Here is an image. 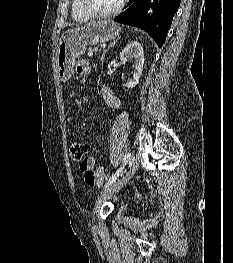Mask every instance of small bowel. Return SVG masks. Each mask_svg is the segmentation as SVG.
Listing matches in <instances>:
<instances>
[{
  "label": "small bowel",
  "mask_w": 233,
  "mask_h": 263,
  "mask_svg": "<svg viewBox=\"0 0 233 263\" xmlns=\"http://www.w3.org/2000/svg\"><path fill=\"white\" fill-rule=\"evenodd\" d=\"M92 69V65L90 62L86 61V60H80L77 62L75 70L79 75H87L90 73ZM101 93L102 96L106 102V104L115 110H120L122 107L121 101L114 95V93L112 92V90H110L108 87L104 86L101 89ZM95 158L94 157H88L86 160V167L87 169L91 170L92 172H94L95 176H96V182L94 183V185H90V186H101L104 182L103 179L100 178V174L104 172V169L102 167L97 168L96 171H94L95 169ZM81 171L83 172V169L80 167ZM87 182V181H86Z\"/></svg>",
  "instance_id": "c3829d8e"
}]
</instances>
